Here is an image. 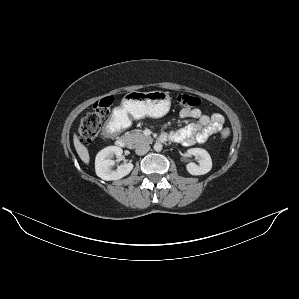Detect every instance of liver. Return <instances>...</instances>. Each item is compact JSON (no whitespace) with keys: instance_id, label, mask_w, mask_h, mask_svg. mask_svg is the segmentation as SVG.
Here are the masks:
<instances>
[{"instance_id":"6515ba94","label":"liver","mask_w":299,"mask_h":299,"mask_svg":"<svg viewBox=\"0 0 299 299\" xmlns=\"http://www.w3.org/2000/svg\"><path fill=\"white\" fill-rule=\"evenodd\" d=\"M74 146L77 151V154L79 155L80 159L85 163L89 164L90 156L88 149L79 141V138L76 134H74Z\"/></svg>"}]
</instances>
